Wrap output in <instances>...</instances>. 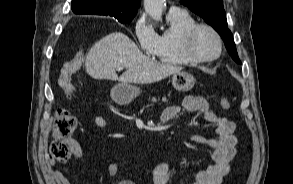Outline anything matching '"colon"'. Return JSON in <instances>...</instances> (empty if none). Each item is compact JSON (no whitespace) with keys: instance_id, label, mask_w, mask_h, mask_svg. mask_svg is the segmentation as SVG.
Listing matches in <instances>:
<instances>
[{"instance_id":"1","label":"colon","mask_w":293,"mask_h":184,"mask_svg":"<svg viewBox=\"0 0 293 184\" xmlns=\"http://www.w3.org/2000/svg\"><path fill=\"white\" fill-rule=\"evenodd\" d=\"M84 58L85 55L81 52L72 60L68 61L62 68L59 82L67 96H71L73 92L71 76L81 68ZM220 106L224 110H230L231 102L227 98L222 97L220 99ZM76 127L77 121L70 107L64 105L58 107L52 126L54 140L51 143L49 151L51 161L64 163L70 159L73 148L70 137Z\"/></svg>"}]
</instances>
